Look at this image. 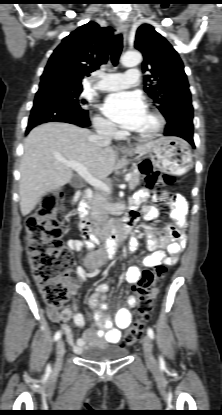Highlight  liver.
I'll return each instance as SVG.
<instances>
[{
    "label": "liver",
    "mask_w": 222,
    "mask_h": 415,
    "mask_svg": "<svg viewBox=\"0 0 222 415\" xmlns=\"http://www.w3.org/2000/svg\"><path fill=\"white\" fill-rule=\"evenodd\" d=\"M92 133L68 123L50 122L35 127L24 142L20 165V210L28 215L46 193L69 183L72 168L57 158L76 161L86 167L97 179H104L115 169L127 165L123 159L116 162V153L110 146H97ZM151 143L139 145L135 153H145Z\"/></svg>",
    "instance_id": "liver-1"
}]
</instances>
